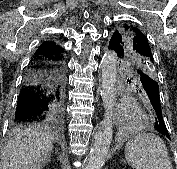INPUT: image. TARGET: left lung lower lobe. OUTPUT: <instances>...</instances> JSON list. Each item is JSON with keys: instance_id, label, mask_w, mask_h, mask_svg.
<instances>
[{"instance_id": "obj_1", "label": "left lung lower lobe", "mask_w": 177, "mask_h": 169, "mask_svg": "<svg viewBox=\"0 0 177 169\" xmlns=\"http://www.w3.org/2000/svg\"><path fill=\"white\" fill-rule=\"evenodd\" d=\"M109 49L114 50L111 45H109ZM136 69L139 76V89L146 94L149 105L155 117L153 127L157 132L170 139V135L162 116L158 83L139 67Z\"/></svg>"}]
</instances>
